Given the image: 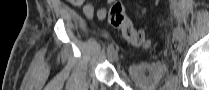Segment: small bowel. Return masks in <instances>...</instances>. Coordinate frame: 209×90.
Returning a JSON list of instances; mask_svg holds the SVG:
<instances>
[{
	"instance_id": "1",
	"label": "small bowel",
	"mask_w": 209,
	"mask_h": 90,
	"mask_svg": "<svg viewBox=\"0 0 209 90\" xmlns=\"http://www.w3.org/2000/svg\"><path fill=\"white\" fill-rule=\"evenodd\" d=\"M83 12L87 17L96 18L98 20L104 19L107 15V10L105 8L99 9L95 14L94 6L91 3H88L83 7Z\"/></svg>"
}]
</instances>
